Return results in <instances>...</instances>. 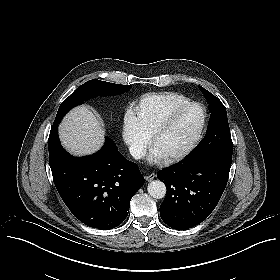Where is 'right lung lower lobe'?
Returning <instances> with one entry per match:
<instances>
[{"label":"right lung lower lobe","mask_w":280,"mask_h":280,"mask_svg":"<svg viewBox=\"0 0 280 280\" xmlns=\"http://www.w3.org/2000/svg\"><path fill=\"white\" fill-rule=\"evenodd\" d=\"M58 124L51 127L48 150L61 198L84 224L105 230L117 227L128 215L131 198L144 184L137 164L125 159L108 137L99 152L71 156L60 144Z\"/></svg>","instance_id":"right-lung-lower-lobe-1"}]
</instances>
